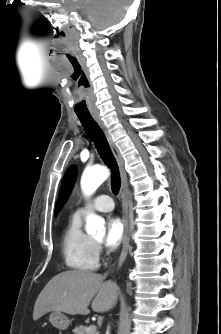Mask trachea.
Here are the masks:
<instances>
[{
	"label": "trachea",
	"mask_w": 221,
	"mask_h": 334,
	"mask_svg": "<svg viewBox=\"0 0 221 334\" xmlns=\"http://www.w3.org/2000/svg\"><path fill=\"white\" fill-rule=\"evenodd\" d=\"M88 137L94 142V145L106 165L112 170L111 188L114 194H117L120 189V175L116 159L109 147L108 141L91 115H77Z\"/></svg>",
	"instance_id": "3493384b"
}]
</instances>
